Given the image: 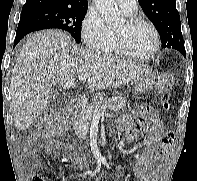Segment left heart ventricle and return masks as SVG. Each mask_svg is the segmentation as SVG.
Masks as SVG:
<instances>
[{
  "instance_id": "1",
  "label": "left heart ventricle",
  "mask_w": 197,
  "mask_h": 181,
  "mask_svg": "<svg viewBox=\"0 0 197 181\" xmlns=\"http://www.w3.org/2000/svg\"><path fill=\"white\" fill-rule=\"evenodd\" d=\"M115 31L122 35L128 48L136 54L146 55L154 48V34L145 24L128 26L124 20L115 28Z\"/></svg>"
}]
</instances>
